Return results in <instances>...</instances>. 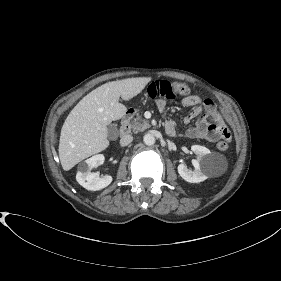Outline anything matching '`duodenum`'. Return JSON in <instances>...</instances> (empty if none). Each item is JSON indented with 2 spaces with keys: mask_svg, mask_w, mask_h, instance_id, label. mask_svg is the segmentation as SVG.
Instances as JSON below:
<instances>
[{
  "mask_svg": "<svg viewBox=\"0 0 281 281\" xmlns=\"http://www.w3.org/2000/svg\"><path fill=\"white\" fill-rule=\"evenodd\" d=\"M134 111L133 110H129L126 112V114L123 116L122 121H121V125L119 128V134L120 136H124L129 132L130 129V121L134 115Z\"/></svg>",
  "mask_w": 281,
  "mask_h": 281,
  "instance_id": "1",
  "label": "duodenum"
}]
</instances>
